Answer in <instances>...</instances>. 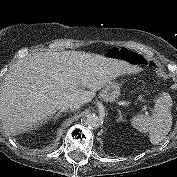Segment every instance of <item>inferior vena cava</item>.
<instances>
[{"label":"inferior vena cava","mask_w":177,"mask_h":177,"mask_svg":"<svg viewBox=\"0 0 177 177\" xmlns=\"http://www.w3.org/2000/svg\"><path fill=\"white\" fill-rule=\"evenodd\" d=\"M81 104L77 101H66L59 107L60 111H76L80 108Z\"/></svg>","instance_id":"inferior-vena-cava-1"}]
</instances>
